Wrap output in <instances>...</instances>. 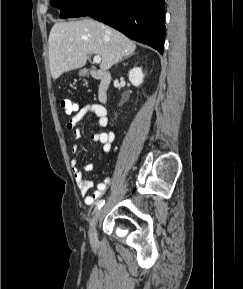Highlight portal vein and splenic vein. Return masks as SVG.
Listing matches in <instances>:
<instances>
[{
    "label": "portal vein and splenic vein",
    "instance_id": "18ae733b",
    "mask_svg": "<svg viewBox=\"0 0 243 289\" xmlns=\"http://www.w3.org/2000/svg\"><path fill=\"white\" fill-rule=\"evenodd\" d=\"M93 62H94V63H100V62H101V57H100V56H97V55L94 56V57H93Z\"/></svg>",
    "mask_w": 243,
    "mask_h": 289
}]
</instances>
